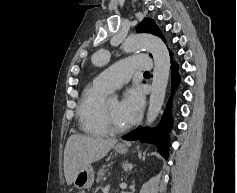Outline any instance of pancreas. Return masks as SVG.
<instances>
[{"instance_id": "1", "label": "pancreas", "mask_w": 237, "mask_h": 193, "mask_svg": "<svg viewBox=\"0 0 237 193\" xmlns=\"http://www.w3.org/2000/svg\"><path fill=\"white\" fill-rule=\"evenodd\" d=\"M105 168H106V165H103L102 168L99 169V171L97 173V179H96L97 182H100L102 180L103 176L105 175V173H106Z\"/></svg>"}]
</instances>
